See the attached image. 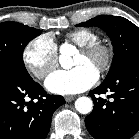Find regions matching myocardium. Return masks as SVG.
Here are the masks:
<instances>
[{"label":"myocardium","mask_w":139,"mask_h":139,"mask_svg":"<svg viewBox=\"0 0 139 139\" xmlns=\"http://www.w3.org/2000/svg\"><path fill=\"white\" fill-rule=\"evenodd\" d=\"M80 51L87 56L99 59L98 74H104L111 68L114 54L108 43L99 40L80 47Z\"/></svg>","instance_id":"f54148a6"}]
</instances>
